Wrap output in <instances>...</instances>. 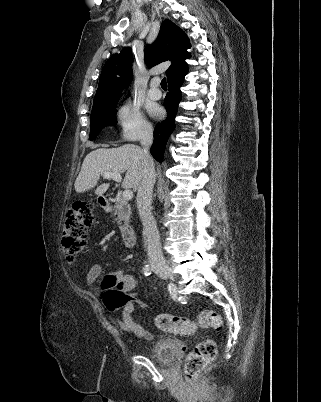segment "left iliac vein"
<instances>
[{"label":"left iliac vein","mask_w":321,"mask_h":402,"mask_svg":"<svg viewBox=\"0 0 321 402\" xmlns=\"http://www.w3.org/2000/svg\"><path fill=\"white\" fill-rule=\"evenodd\" d=\"M162 279H166L167 278V275H165V274H163V273H161V272H159V271H155Z\"/></svg>","instance_id":"1"}]
</instances>
